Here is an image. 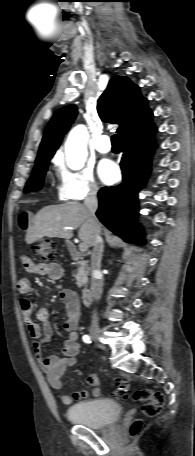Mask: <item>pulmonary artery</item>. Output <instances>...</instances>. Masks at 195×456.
I'll use <instances>...</instances> for the list:
<instances>
[{"mask_svg":"<svg viewBox=\"0 0 195 456\" xmlns=\"http://www.w3.org/2000/svg\"><path fill=\"white\" fill-rule=\"evenodd\" d=\"M96 149L101 154H107L111 151V143L107 135H103L99 138Z\"/></svg>","mask_w":195,"mask_h":456,"instance_id":"pulmonary-artery-1","label":"pulmonary artery"}]
</instances>
